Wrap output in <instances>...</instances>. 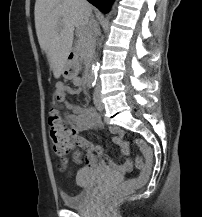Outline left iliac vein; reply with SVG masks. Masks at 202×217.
<instances>
[{"mask_svg":"<svg viewBox=\"0 0 202 217\" xmlns=\"http://www.w3.org/2000/svg\"><path fill=\"white\" fill-rule=\"evenodd\" d=\"M94 104H95V107L99 110V111H102L104 109V104L101 100V97H100V92H99V88H96L95 92H94Z\"/></svg>","mask_w":202,"mask_h":217,"instance_id":"4c4485c4","label":"left iliac vein"}]
</instances>
